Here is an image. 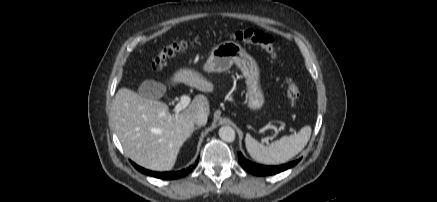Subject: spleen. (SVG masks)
<instances>
[{
	"instance_id": "obj_1",
	"label": "spleen",
	"mask_w": 437,
	"mask_h": 202,
	"mask_svg": "<svg viewBox=\"0 0 437 202\" xmlns=\"http://www.w3.org/2000/svg\"><path fill=\"white\" fill-rule=\"evenodd\" d=\"M311 136V127L304 126L297 134L283 136L279 140L265 146L247 134L246 149L257 162L264 164H282L300 153Z\"/></svg>"
}]
</instances>
